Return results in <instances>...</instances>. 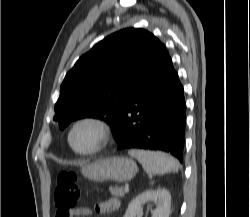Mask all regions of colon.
<instances>
[{"mask_svg":"<svg viewBox=\"0 0 250 217\" xmlns=\"http://www.w3.org/2000/svg\"><path fill=\"white\" fill-rule=\"evenodd\" d=\"M80 199V189L77 176L73 172H63L58 175L54 190V205L56 217H69Z\"/></svg>","mask_w":250,"mask_h":217,"instance_id":"obj_1","label":"colon"}]
</instances>
